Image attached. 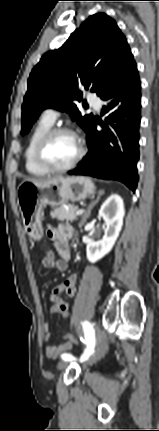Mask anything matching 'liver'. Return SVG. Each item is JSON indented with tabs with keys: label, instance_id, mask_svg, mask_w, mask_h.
Here are the masks:
<instances>
[{
	"label": "liver",
	"instance_id": "6515ba94",
	"mask_svg": "<svg viewBox=\"0 0 159 431\" xmlns=\"http://www.w3.org/2000/svg\"><path fill=\"white\" fill-rule=\"evenodd\" d=\"M52 179H54V178H49V179H34V178H28V179H26L25 181H29V182H32V183L40 184V183H45V182H47V181H50V180H52Z\"/></svg>",
	"mask_w": 159,
	"mask_h": 431
}]
</instances>
